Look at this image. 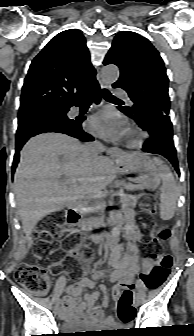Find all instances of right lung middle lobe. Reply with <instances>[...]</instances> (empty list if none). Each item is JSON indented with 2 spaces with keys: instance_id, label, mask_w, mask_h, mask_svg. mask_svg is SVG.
I'll use <instances>...</instances> for the list:
<instances>
[{
  "instance_id": "obj_1",
  "label": "right lung middle lobe",
  "mask_w": 194,
  "mask_h": 336,
  "mask_svg": "<svg viewBox=\"0 0 194 336\" xmlns=\"http://www.w3.org/2000/svg\"><path fill=\"white\" fill-rule=\"evenodd\" d=\"M65 108H41L35 110L19 111L18 126L36 122H50L53 124L72 123L66 116Z\"/></svg>"
}]
</instances>
